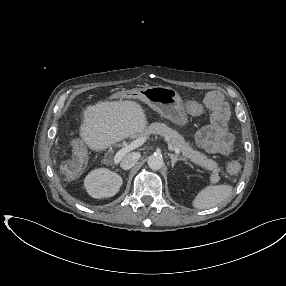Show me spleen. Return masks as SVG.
Here are the masks:
<instances>
[{"instance_id": "obj_1", "label": "spleen", "mask_w": 286, "mask_h": 286, "mask_svg": "<svg viewBox=\"0 0 286 286\" xmlns=\"http://www.w3.org/2000/svg\"><path fill=\"white\" fill-rule=\"evenodd\" d=\"M232 191L231 185H209L196 195L192 205L201 210L215 207L227 199Z\"/></svg>"}]
</instances>
